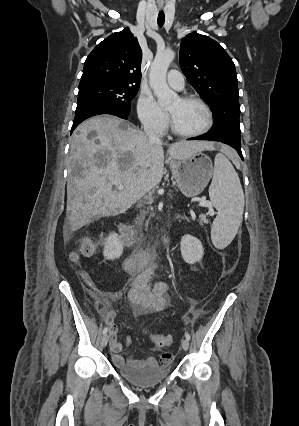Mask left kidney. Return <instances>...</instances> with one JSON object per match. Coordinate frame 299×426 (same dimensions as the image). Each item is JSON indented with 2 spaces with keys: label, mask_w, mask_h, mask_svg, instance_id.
Listing matches in <instances>:
<instances>
[{
  "label": "left kidney",
  "mask_w": 299,
  "mask_h": 426,
  "mask_svg": "<svg viewBox=\"0 0 299 426\" xmlns=\"http://www.w3.org/2000/svg\"><path fill=\"white\" fill-rule=\"evenodd\" d=\"M180 250L183 260L188 264L199 262L204 255L201 241L189 234L181 238Z\"/></svg>",
  "instance_id": "left-kidney-1"
}]
</instances>
